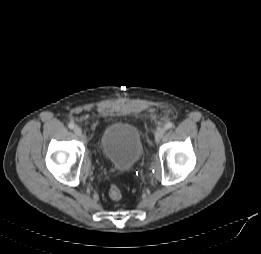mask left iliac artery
I'll return each instance as SVG.
<instances>
[{"label":"left iliac artery","mask_w":261,"mask_h":254,"mask_svg":"<svg viewBox=\"0 0 261 254\" xmlns=\"http://www.w3.org/2000/svg\"><path fill=\"white\" fill-rule=\"evenodd\" d=\"M174 126V124L172 123V122H167L166 124H165V128L166 129H170V128H172Z\"/></svg>","instance_id":"left-iliac-artery-1"}]
</instances>
